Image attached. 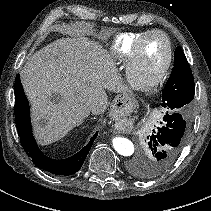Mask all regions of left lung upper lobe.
I'll return each instance as SVG.
<instances>
[{
  "label": "left lung upper lobe",
  "instance_id": "left-lung-upper-lobe-1",
  "mask_svg": "<svg viewBox=\"0 0 211 211\" xmlns=\"http://www.w3.org/2000/svg\"><path fill=\"white\" fill-rule=\"evenodd\" d=\"M194 77L180 47L175 49L174 67L162 92V106L173 111L187 112L194 98Z\"/></svg>",
  "mask_w": 211,
  "mask_h": 211
}]
</instances>
